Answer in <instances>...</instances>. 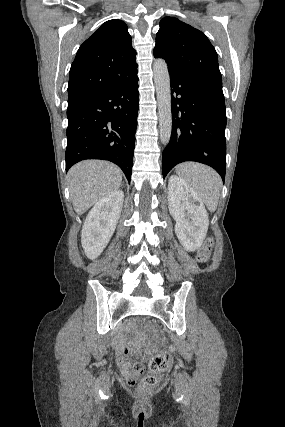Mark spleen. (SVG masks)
<instances>
[{"instance_id":"1","label":"spleen","mask_w":285,"mask_h":427,"mask_svg":"<svg viewBox=\"0 0 285 427\" xmlns=\"http://www.w3.org/2000/svg\"><path fill=\"white\" fill-rule=\"evenodd\" d=\"M176 173L195 190L208 210L215 212L222 186L219 174L208 166L194 162L178 165Z\"/></svg>"}]
</instances>
